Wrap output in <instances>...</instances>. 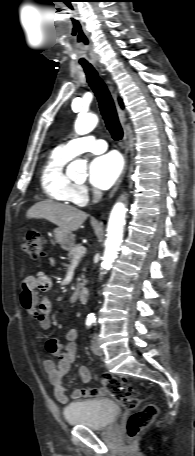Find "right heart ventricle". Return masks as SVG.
Returning <instances> with one entry per match:
<instances>
[{"mask_svg": "<svg viewBox=\"0 0 195 456\" xmlns=\"http://www.w3.org/2000/svg\"><path fill=\"white\" fill-rule=\"evenodd\" d=\"M71 159L60 148H56L43 166L40 182L44 193L58 202H73L72 190L74 184L65 174L64 168Z\"/></svg>", "mask_w": 195, "mask_h": 456, "instance_id": "e07e8e85", "label": "right heart ventricle"}]
</instances>
